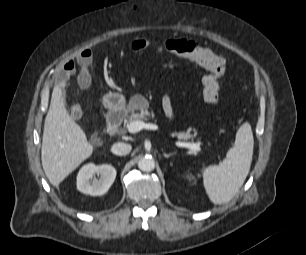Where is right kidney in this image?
<instances>
[{
	"instance_id": "ca27d5eb",
	"label": "right kidney",
	"mask_w": 306,
	"mask_h": 255,
	"mask_svg": "<svg viewBox=\"0 0 306 255\" xmlns=\"http://www.w3.org/2000/svg\"><path fill=\"white\" fill-rule=\"evenodd\" d=\"M100 175L97 179L95 175ZM116 178V169L109 164L96 166L92 163L84 165L77 175V189L93 196L105 194Z\"/></svg>"
}]
</instances>
